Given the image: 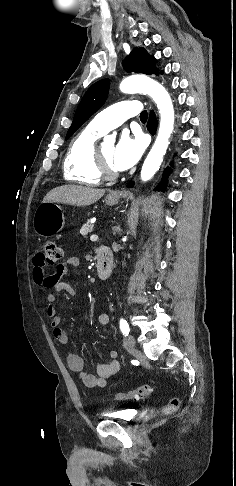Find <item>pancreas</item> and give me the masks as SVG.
Segmentation results:
<instances>
[{
	"instance_id": "obj_1",
	"label": "pancreas",
	"mask_w": 236,
	"mask_h": 486,
	"mask_svg": "<svg viewBox=\"0 0 236 486\" xmlns=\"http://www.w3.org/2000/svg\"><path fill=\"white\" fill-rule=\"evenodd\" d=\"M93 231V225L90 223V220H87L85 224L80 229V234L84 237H87V235Z\"/></svg>"
}]
</instances>
